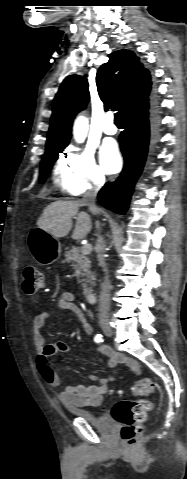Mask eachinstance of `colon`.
I'll use <instances>...</instances> for the list:
<instances>
[{
  "label": "colon",
  "mask_w": 187,
  "mask_h": 479,
  "mask_svg": "<svg viewBox=\"0 0 187 479\" xmlns=\"http://www.w3.org/2000/svg\"><path fill=\"white\" fill-rule=\"evenodd\" d=\"M45 285L44 274L33 266H26L23 269V289L26 294H34L43 289ZM156 383L151 378H143L134 386V393L145 395L153 393ZM114 393L113 389L109 394ZM153 405L147 400H118L111 411V415L121 425L120 435L122 440L129 446L136 444L142 434V424L147 413Z\"/></svg>",
  "instance_id": "obj_1"
}]
</instances>
